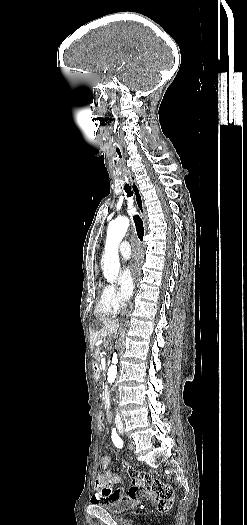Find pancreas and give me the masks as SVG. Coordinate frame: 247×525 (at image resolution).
<instances>
[{"label": "pancreas", "mask_w": 247, "mask_h": 525, "mask_svg": "<svg viewBox=\"0 0 247 525\" xmlns=\"http://www.w3.org/2000/svg\"><path fill=\"white\" fill-rule=\"evenodd\" d=\"M94 361H98L100 359V356L98 355V352H95V355L93 356Z\"/></svg>", "instance_id": "cf45deb5"}]
</instances>
